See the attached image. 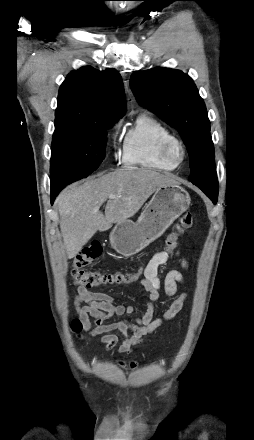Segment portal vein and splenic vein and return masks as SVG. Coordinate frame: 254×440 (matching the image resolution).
Here are the masks:
<instances>
[{
    "instance_id": "18ae733b",
    "label": "portal vein and splenic vein",
    "mask_w": 254,
    "mask_h": 440,
    "mask_svg": "<svg viewBox=\"0 0 254 440\" xmlns=\"http://www.w3.org/2000/svg\"><path fill=\"white\" fill-rule=\"evenodd\" d=\"M109 198L111 199H120L121 196H116V195H110Z\"/></svg>"
}]
</instances>
